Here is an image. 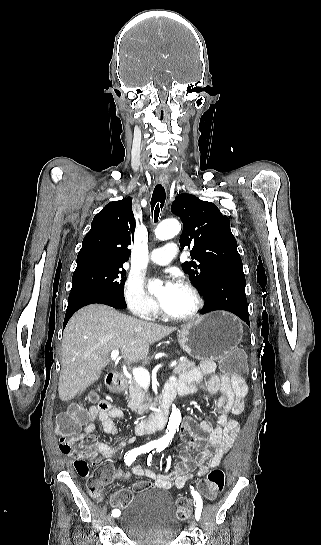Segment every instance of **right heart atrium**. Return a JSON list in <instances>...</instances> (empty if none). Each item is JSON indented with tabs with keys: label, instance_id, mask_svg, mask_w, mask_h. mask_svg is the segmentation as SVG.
Masks as SVG:
<instances>
[{
	"label": "right heart atrium",
	"instance_id": "1",
	"mask_svg": "<svg viewBox=\"0 0 321 545\" xmlns=\"http://www.w3.org/2000/svg\"><path fill=\"white\" fill-rule=\"evenodd\" d=\"M122 293L128 310L136 317L152 320L158 315L157 304L147 296L139 279L128 278L124 283Z\"/></svg>",
	"mask_w": 321,
	"mask_h": 545
}]
</instances>
